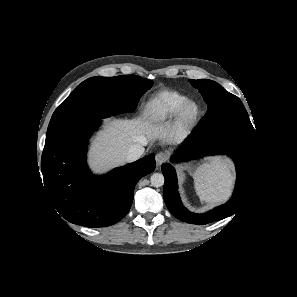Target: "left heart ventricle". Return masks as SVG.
I'll list each match as a JSON object with an SVG mask.
<instances>
[{
  "instance_id": "b2bd125f",
  "label": "left heart ventricle",
  "mask_w": 297,
  "mask_h": 297,
  "mask_svg": "<svg viewBox=\"0 0 297 297\" xmlns=\"http://www.w3.org/2000/svg\"><path fill=\"white\" fill-rule=\"evenodd\" d=\"M196 111V108L194 106H191L187 111V116H192Z\"/></svg>"
}]
</instances>
